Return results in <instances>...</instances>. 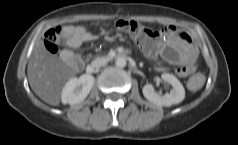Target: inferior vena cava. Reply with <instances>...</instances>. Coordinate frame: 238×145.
<instances>
[{"label":"inferior vena cava","instance_id":"602c4592","mask_svg":"<svg viewBox=\"0 0 238 145\" xmlns=\"http://www.w3.org/2000/svg\"><path fill=\"white\" fill-rule=\"evenodd\" d=\"M107 63V59L105 57H100L92 61L91 66L93 68H99L104 66Z\"/></svg>","mask_w":238,"mask_h":145}]
</instances>
